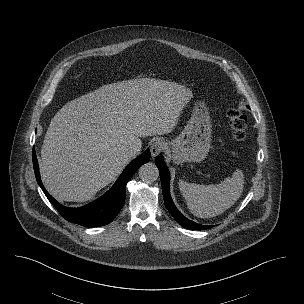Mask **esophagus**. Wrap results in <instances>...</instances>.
Listing matches in <instances>:
<instances>
[{"instance_id":"34e87169","label":"esophagus","mask_w":304,"mask_h":304,"mask_svg":"<svg viewBox=\"0 0 304 304\" xmlns=\"http://www.w3.org/2000/svg\"><path fill=\"white\" fill-rule=\"evenodd\" d=\"M165 142L162 139H155L150 146L151 156L155 157L164 148Z\"/></svg>"}]
</instances>
